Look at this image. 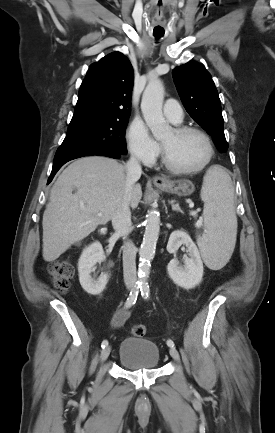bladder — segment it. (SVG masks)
Segmentation results:
<instances>
[{
    "instance_id": "1",
    "label": "bladder",
    "mask_w": 275,
    "mask_h": 433,
    "mask_svg": "<svg viewBox=\"0 0 275 433\" xmlns=\"http://www.w3.org/2000/svg\"><path fill=\"white\" fill-rule=\"evenodd\" d=\"M160 350L148 339L128 337L119 347L118 361L124 367L139 371L158 367Z\"/></svg>"
}]
</instances>
